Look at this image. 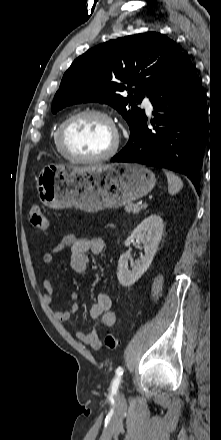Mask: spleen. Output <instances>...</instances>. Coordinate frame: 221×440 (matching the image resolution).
Returning a JSON list of instances; mask_svg holds the SVG:
<instances>
[{
	"instance_id": "3e777b00",
	"label": "spleen",
	"mask_w": 221,
	"mask_h": 440,
	"mask_svg": "<svg viewBox=\"0 0 221 440\" xmlns=\"http://www.w3.org/2000/svg\"><path fill=\"white\" fill-rule=\"evenodd\" d=\"M164 173L167 177L168 191L171 195H175L182 189L183 182L177 175H175L171 171L164 170Z\"/></svg>"
}]
</instances>
